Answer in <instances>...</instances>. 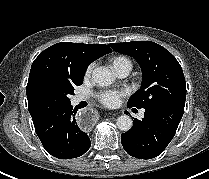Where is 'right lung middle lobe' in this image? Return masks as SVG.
<instances>
[{
  "mask_svg": "<svg viewBox=\"0 0 209 179\" xmlns=\"http://www.w3.org/2000/svg\"><path fill=\"white\" fill-rule=\"evenodd\" d=\"M83 78L84 76H80L72 81L53 77L39 79L32 93V103L37 117L43 118L55 109L70 103L69 96L74 95V87L81 85Z\"/></svg>",
  "mask_w": 209,
  "mask_h": 179,
  "instance_id": "right-lung-middle-lobe-1",
  "label": "right lung middle lobe"
}]
</instances>
